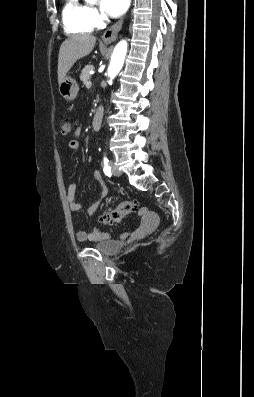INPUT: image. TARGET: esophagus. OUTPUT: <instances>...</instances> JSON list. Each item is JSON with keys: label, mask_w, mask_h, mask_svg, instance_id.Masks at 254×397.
<instances>
[{"label": "esophagus", "mask_w": 254, "mask_h": 397, "mask_svg": "<svg viewBox=\"0 0 254 397\" xmlns=\"http://www.w3.org/2000/svg\"><path fill=\"white\" fill-rule=\"evenodd\" d=\"M122 25H123V19L119 20L114 25L109 27L102 35L103 42L105 43L113 42L117 38V35L122 28Z\"/></svg>", "instance_id": "34e87169"}]
</instances>
